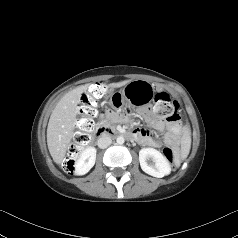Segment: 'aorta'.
Returning a JSON list of instances; mask_svg holds the SVG:
<instances>
[{"label":"aorta","mask_w":238,"mask_h":238,"mask_svg":"<svg viewBox=\"0 0 238 238\" xmlns=\"http://www.w3.org/2000/svg\"><path fill=\"white\" fill-rule=\"evenodd\" d=\"M116 142L117 144L122 145L125 142V139L123 136H118Z\"/></svg>","instance_id":"1"}]
</instances>
